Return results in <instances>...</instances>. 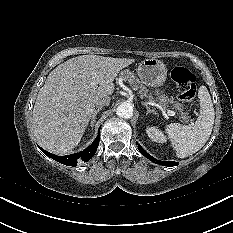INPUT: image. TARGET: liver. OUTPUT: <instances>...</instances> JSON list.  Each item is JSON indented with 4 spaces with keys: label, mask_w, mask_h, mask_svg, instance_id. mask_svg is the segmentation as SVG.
<instances>
[{
    "label": "liver",
    "mask_w": 233,
    "mask_h": 233,
    "mask_svg": "<svg viewBox=\"0 0 233 233\" xmlns=\"http://www.w3.org/2000/svg\"><path fill=\"white\" fill-rule=\"evenodd\" d=\"M134 59L82 55L58 65L40 88L32 126L38 144L65 154L80 142L99 99L114 92V79ZM92 74L97 82L90 85Z\"/></svg>",
    "instance_id": "obj_1"
}]
</instances>
